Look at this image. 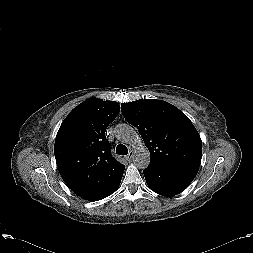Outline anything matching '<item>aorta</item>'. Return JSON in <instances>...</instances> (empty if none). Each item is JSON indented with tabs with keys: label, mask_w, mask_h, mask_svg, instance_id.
<instances>
[{
	"label": "aorta",
	"mask_w": 253,
	"mask_h": 253,
	"mask_svg": "<svg viewBox=\"0 0 253 253\" xmlns=\"http://www.w3.org/2000/svg\"><path fill=\"white\" fill-rule=\"evenodd\" d=\"M116 138L134 148L133 162L137 168L145 169L150 163V153L142 138L129 124H119L115 129Z\"/></svg>",
	"instance_id": "obj_1"
}]
</instances>
